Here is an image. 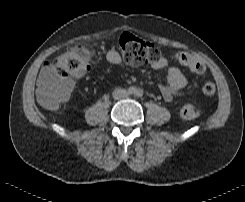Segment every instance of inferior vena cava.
<instances>
[{"mask_svg": "<svg viewBox=\"0 0 245 202\" xmlns=\"http://www.w3.org/2000/svg\"><path fill=\"white\" fill-rule=\"evenodd\" d=\"M128 96V92L125 89L117 88L113 91V98L115 100L123 99Z\"/></svg>", "mask_w": 245, "mask_h": 202, "instance_id": "inferior-vena-cava-1", "label": "inferior vena cava"}]
</instances>
